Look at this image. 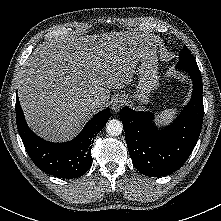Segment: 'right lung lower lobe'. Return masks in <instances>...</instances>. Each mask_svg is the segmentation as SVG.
<instances>
[{
  "instance_id": "obj_1",
  "label": "right lung lower lobe",
  "mask_w": 221,
  "mask_h": 221,
  "mask_svg": "<svg viewBox=\"0 0 221 221\" xmlns=\"http://www.w3.org/2000/svg\"><path fill=\"white\" fill-rule=\"evenodd\" d=\"M16 122L26 151L34 164L43 172L59 178H76L92 165L91 148L96 135L110 117V109L97 113L80 134L67 143H53L34 134L27 126L16 95Z\"/></svg>"
}]
</instances>
